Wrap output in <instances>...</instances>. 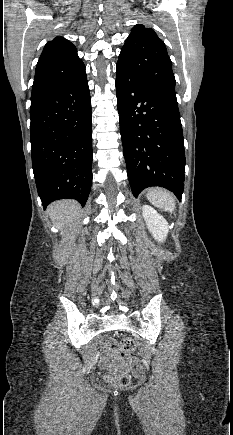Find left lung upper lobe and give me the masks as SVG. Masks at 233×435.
Here are the masks:
<instances>
[{
    "label": "left lung upper lobe",
    "mask_w": 233,
    "mask_h": 435,
    "mask_svg": "<svg viewBox=\"0 0 233 435\" xmlns=\"http://www.w3.org/2000/svg\"><path fill=\"white\" fill-rule=\"evenodd\" d=\"M117 65L144 84L176 95L172 62L164 42L152 29L141 24L132 28Z\"/></svg>",
    "instance_id": "5c2ea615"
}]
</instances>
